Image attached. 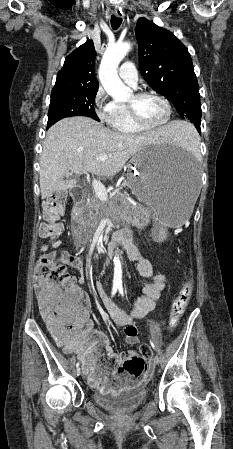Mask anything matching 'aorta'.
Here are the masks:
<instances>
[{
  "mask_svg": "<svg viewBox=\"0 0 233 449\" xmlns=\"http://www.w3.org/2000/svg\"><path fill=\"white\" fill-rule=\"evenodd\" d=\"M131 45L127 42L116 43L107 48L99 67V79L106 92L115 100H124L130 93L117 74V68L122 59L130 51ZM122 268L120 257H114V278H121Z\"/></svg>",
  "mask_w": 233,
  "mask_h": 449,
  "instance_id": "aorta-1",
  "label": "aorta"
}]
</instances>
